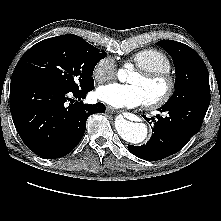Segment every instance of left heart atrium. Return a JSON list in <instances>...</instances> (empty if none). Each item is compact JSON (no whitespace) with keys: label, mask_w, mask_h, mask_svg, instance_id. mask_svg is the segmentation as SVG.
I'll return each instance as SVG.
<instances>
[{"label":"left heart atrium","mask_w":221,"mask_h":221,"mask_svg":"<svg viewBox=\"0 0 221 221\" xmlns=\"http://www.w3.org/2000/svg\"><path fill=\"white\" fill-rule=\"evenodd\" d=\"M96 97L116 108H133L143 105L145 96L137 85L110 83L96 90Z\"/></svg>","instance_id":"left-heart-atrium-1"}]
</instances>
